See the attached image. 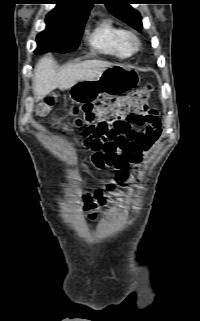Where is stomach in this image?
<instances>
[{
  "label": "stomach",
  "mask_w": 200,
  "mask_h": 321,
  "mask_svg": "<svg viewBox=\"0 0 200 321\" xmlns=\"http://www.w3.org/2000/svg\"><path fill=\"white\" fill-rule=\"evenodd\" d=\"M139 82L135 69L122 65H112L97 78L83 80L70 88L69 97L75 103L94 102L100 95L115 96L125 93Z\"/></svg>",
  "instance_id": "obj_1"
}]
</instances>
